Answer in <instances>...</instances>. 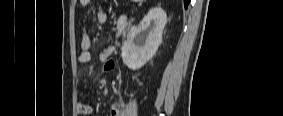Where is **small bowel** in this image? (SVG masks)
<instances>
[{"instance_id": "1", "label": "small bowel", "mask_w": 283, "mask_h": 116, "mask_svg": "<svg viewBox=\"0 0 283 116\" xmlns=\"http://www.w3.org/2000/svg\"><path fill=\"white\" fill-rule=\"evenodd\" d=\"M80 2L83 7L89 8L91 6L90 0H81ZM95 14H96V18L99 23L103 24L107 22L108 16L106 12H104L102 9L100 8L95 9ZM90 46H91V40H90L89 35H84L80 42L81 53L78 56L79 63L84 64L90 61L91 59ZM114 50H115L114 47H109L103 50L100 53V60L107 61L108 57L114 52ZM111 67H112V64L110 62H107L104 65V70H109ZM78 110L81 114H90L92 112V105L91 103H81L78 106ZM110 115L111 116H121L122 115V111L117 102H114L111 105Z\"/></svg>"}]
</instances>
